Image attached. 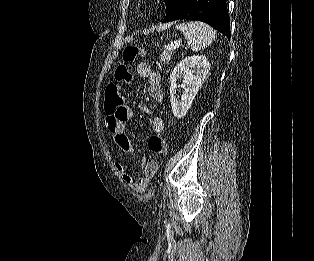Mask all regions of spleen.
<instances>
[{"mask_svg": "<svg viewBox=\"0 0 314 261\" xmlns=\"http://www.w3.org/2000/svg\"><path fill=\"white\" fill-rule=\"evenodd\" d=\"M176 28L183 32L192 51H200L208 47L216 38V32L209 25L192 21L180 23Z\"/></svg>", "mask_w": 314, "mask_h": 261, "instance_id": "3e777b00", "label": "spleen"}]
</instances>
